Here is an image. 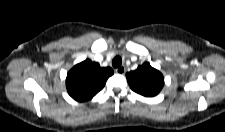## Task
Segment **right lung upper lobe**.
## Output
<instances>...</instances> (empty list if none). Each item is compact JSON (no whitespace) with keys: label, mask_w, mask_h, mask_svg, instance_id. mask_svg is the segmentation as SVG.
Returning a JSON list of instances; mask_svg holds the SVG:
<instances>
[{"label":"right lung upper lobe","mask_w":225,"mask_h":132,"mask_svg":"<svg viewBox=\"0 0 225 132\" xmlns=\"http://www.w3.org/2000/svg\"><path fill=\"white\" fill-rule=\"evenodd\" d=\"M113 74L110 67L102 68L89 59L75 65L67 74L66 87L69 95L77 101H87L104 87Z\"/></svg>","instance_id":"1"}]
</instances>
